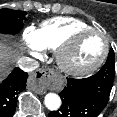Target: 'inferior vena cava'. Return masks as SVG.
I'll use <instances>...</instances> for the list:
<instances>
[{
    "mask_svg": "<svg viewBox=\"0 0 117 117\" xmlns=\"http://www.w3.org/2000/svg\"><path fill=\"white\" fill-rule=\"evenodd\" d=\"M18 67L25 72H32L33 70L39 67V63L32 58L21 57L18 60Z\"/></svg>",
    "mask_w": 117,
    "mask_h": 117,
    "instance_id": "1",
    "label": "inferior vena cava"
}]
</instances>
